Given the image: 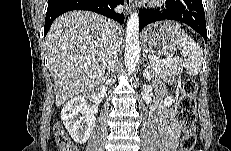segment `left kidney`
<instances>
[{"mask_svg": "<svg viewBox=\"0 0 231 151\" xmlns=\"http://www.w3.org/2000/svg\"><path fill=\"white\" fill-rule=\"evenodd\" d=\"M152 70H150V66L146 67L143 71V77H146V79H148V81L151 80V78L154 77V75H152ZM175 102V100L172 97H167L164 99V106L169 107L171 106L173 103Z\"/></svg>", "mask_w": 231, "mask_h": 151, "instance_id": "1", "label": "left kidney"}]
</instances>
